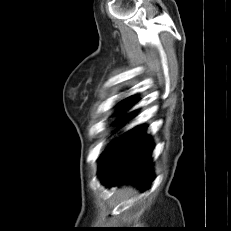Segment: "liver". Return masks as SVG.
<instances>
[{"label":"liver","instance_id":"obj_1","mask_svg":"<svg viewBox=\"0 0 231 231\" xmlns=\"http://www.w3.org/2000/svg\"><path fill=\"white\" fill-rule=\"evenodd\" d=\"M122 190H124V191H126V192H128V193H135V189L133 188V187H131V186H124L123 188H122Z\"/></svg>","mask_w":231,"mask_h":231}]
</instances>
